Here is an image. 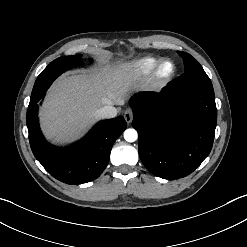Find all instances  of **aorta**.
<instances>
[{"label": "aorta", "instance_id": "aorta-1", "mask_svg": "<svg viewBox=\"0 0 247 247\" xmlns=\"http://www.w3.org/2000/svg\"><path fill=\"white\" fill-rule=\"evenodd\" d=\"M138 134L137 131L135 129H126L124 131V139L127 142H134L137 140Z\"/></svg>", "mask_w": 247, "mask_h": 247}]
</instances>
